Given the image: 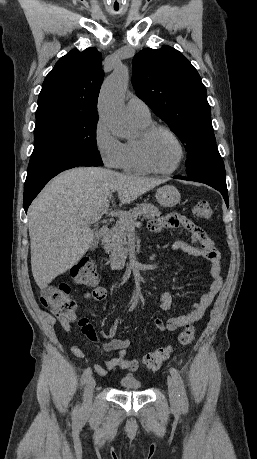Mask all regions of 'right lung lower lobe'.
Here are the masks:
<instances>
[{
	"instance_id": "obj_1",
	"label": "right lung lower lobe",
	"mask_w": 257,
	"mask_h": 459,
	"mask_svg": "<svg viewBox=\"0 0 257 459\" xmlns=\"http://www.w3.org/2000/svg\"><path fill=\"white\" fill-rule=\"evenodd\" d=\"M102 162L96 161L84 154L74 152H58L30 159L27 178L24 185V210L47 184V182L60 172L77 166H101Z\"/></svg>"
}]
</instances>
